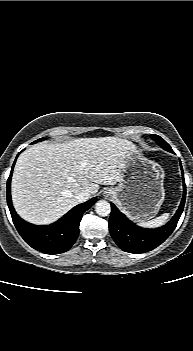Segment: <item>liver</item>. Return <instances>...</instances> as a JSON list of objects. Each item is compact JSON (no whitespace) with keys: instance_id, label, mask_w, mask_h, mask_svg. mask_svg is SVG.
Listing matches in <instances>:
<instances>
[{"instance_id":"liver-1","label":"liver","mask_w":193,"mask_h":351,"mask_svg":"<svg viewBox=\"0 0 193 351\" xmlns=\"http://www.w3.org/2000/svg\"><path fill=\"white\" fill-rule=\"evenodd\" d=\"M134 146L117 137L77 138L66 143H40L18 158L12 177V200L17 213L34 224H49L90 196L99 185L122 178L125 158Z\"/></svg>"}]
</instances>
